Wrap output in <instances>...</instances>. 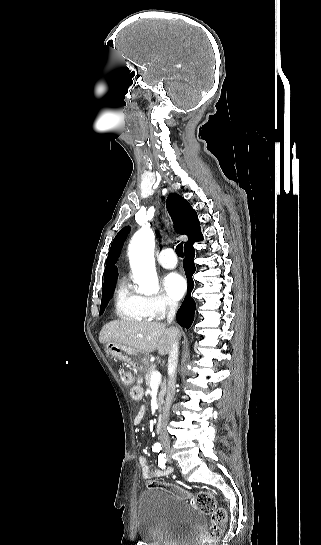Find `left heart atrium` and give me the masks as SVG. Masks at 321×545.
Masks as SVG:
<instances>
[{
  "label": "left heart atrium",
  "mask_w": 321,
  "mask_h": 545,
  "mask_svg": "<svg viewBox=\"0 0 321 545\" xmlns=\"http://www.w3.org/2000/svg\"><path fill=\"white\" fill-rule=\"evenodd\" d=\"M166 296L172 300L179 299L186 290L184 278L177 272L168 273L162 281Z\"/></svg>",
  "instance_id": "obj_1"
}]
</instances>
